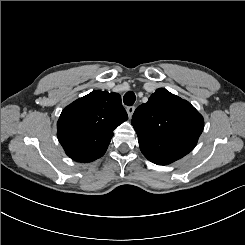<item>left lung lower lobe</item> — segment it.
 <instances>
[{
    "mask_svg": "<svg viewBox=\"0 0 245 245\" xmlns=\"http://www.w3.org/2000/svg\"><path fill=\"white\" fill-rule=\"evenodd\" d=\"M175 160L169 159V158H164V159H159L158 162L156 164L159 165H166V164H170L172 162H174Z\"/></svg>",
    "mask_w": 245,
    "mask_h": 245,
    "instance_id": "1",
    "label": "left lung lower lobe"
}]
</instances>
